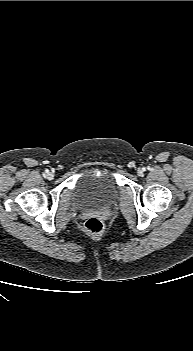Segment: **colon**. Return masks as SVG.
<instances>
[{
  "mask_svg": "<svg viewBox=\"0 0 193 351\" xmlns=\"http://www.w3.org/2000/svg\"><path fill=\"white\" fill-rule=\"evenodd\" d=\"M83 229L91 235H99L104 229V223L99 217H90L83 223Z\"/></svg>",
  "mask_w": 193,
  "mask_h": 351,
  "instance_id": "5ec220e1",
  "label": "colon"
}]
</instances>
